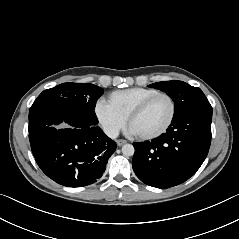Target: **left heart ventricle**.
<instances>
[{"mask_svg":"<svg viewBox=\"0 0 239 239\" xmlns=\"http://www.w3.org/2000/svg\"><path fill=\"white\" fill-rule=\"evenodd\" d=\"M170 115V101L166 97H158L131 121L129 127L136 135L154 133L167 123Z\"/></svg>","mask_w":239,"mask_h":239,"instance_id":"obj_1","label":"left heart ventricle"}]
</instances>
